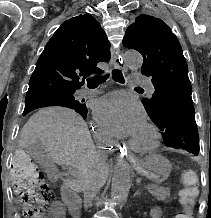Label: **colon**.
I'll return each instance as SVG.
<instances>
[{"label":"colon","mask_w":211,"mask_h":218,"mask_svg":"<svg viewBox=\"0 0 211 218\" xmlns=\"http://www.w3.org/2000/svg\"><path fill=\"white\" fill-rule=\"evenodd\" d=\"M11 177L14 192L27 218H40L47 210L51 192L32 157L25 151L14 155ZM179 195L183 206L174 218H194L193 206L198 195V175L192 169L181 173Z\"/></svg>","instance_id":"5ec220e1"}]
</instances>
